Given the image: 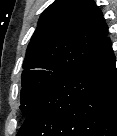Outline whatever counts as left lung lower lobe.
<instances>
[{
    "mask_svg": "<svg viewBox=\"0 0 117 136\" xmlns=\"http://www.w3.org/2000/svg\"><path fill=\"white\" fill-rule=\"evenodd\" d=\"M17 136H117V73L109 38L48 90Z\"/></svg>",
    "mask_w": 117,
    "mask_h": 136,
    "instance_id": "left-lung-lower-lobe-1",
    "label": "left lung lower lobe"
}]
</instances>
